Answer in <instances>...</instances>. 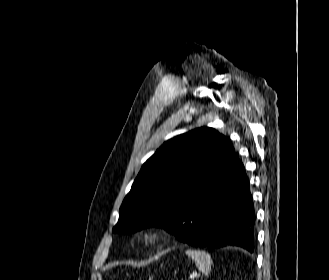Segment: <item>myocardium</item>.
Instances as JSON below:
<instances>
[{
	"instance_id": "f54148a6",
	"label": "myocardium",
	"mask_w": 329,
	"mask_h": 280,
	"mask_svg": "<svg viewBox=\"0 0 329 280\" xmlns=\"http://www.w3.org/2000/svg\"><path fill=\"white\" fill-rule=\"evenodd\" d=\"M136 237L138 244L147 248L160 244L165 238V233L160 227H145L137 232Z\"/></svg>"
}]
</instances>
